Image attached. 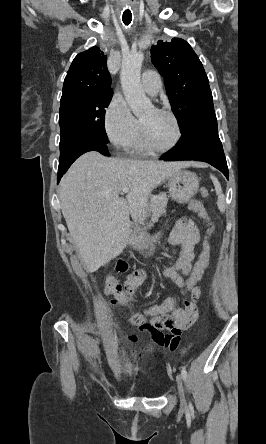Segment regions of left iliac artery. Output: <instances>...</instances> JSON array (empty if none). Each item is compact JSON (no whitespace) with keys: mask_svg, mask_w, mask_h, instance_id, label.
<instances>
[{"mask_svg":"<svg viewBox=\"0 0 266 444\" xmlns=\"http://www.w3.org/2000/svg\"><path fill=\"white\" fill-rule=\"evenodd\" d=\"M181 375H182L183 380L186 381V378H187V371H186V368H185V367H182Z\"/></svg>","mask_w":266,"mask_h":444,"instance_id":"obj_1","label":"left iliac artery"}]
</instances>
